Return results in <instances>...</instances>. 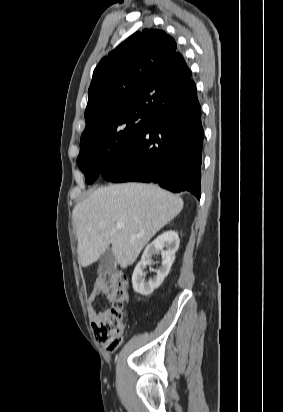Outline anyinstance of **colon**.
Masks as SVG:
<instances>
[{
  "label": "colon",
  "instance_id": "obj_1",
  "mask_svg": "<svg viewBox=\"0 0 283 412\" xmlns=\"http://www.w3.org/2000/svg\"><path fill=\"white\" fill-rule=\"evenodd\" d=\"M126 286L127 279L122 273L115 272L106 276V287L111 306L92 325L95 340L108 352L116 351L124 339L128 301Z\"/></svg>",
  "mask_w": 283,
  "mask_h": 412
}]
</instances>
